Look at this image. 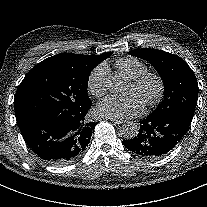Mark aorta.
Wrapping results in <instances>:
<instances>
[{
	"instance_id": "762f6f07",
	"label": "aorta",
	"mask_w": 207,
	"mask_h": 207,
	"mask_svg": "<svg viewBox=\"0 0 207 207\" xmlns=\"http://www.w3.org/2000/svg\"><path fill=\"white\" fill-rule=\"evenodd\" d=\"M106 85L110 92L122 94L128 89V79L123 74L116 73L107 78ZM120 132L125 139H133L139 132V125L128 121L121 125Z\"/></svg>"
}]
</instances>
